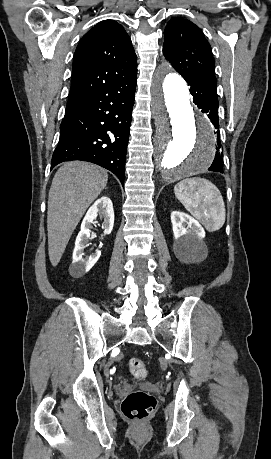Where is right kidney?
Instances as JSON below:
<instances>
[{
	"label": "right kidney",
	"mask_w": 271,
	"mask_h": 459,
	"mask_svg": "<svg viewBox=\"0 0 271 459\" xmlns=\"http://www.w3.org/2000/svg\"><path fill=\"white\" fill-rule=\"evenodd\" d=\"M97 216H103L104 218L102 226L104 235L111 233L114 226V210L113 204L107 196H102L100 200H96L95 204L89 208L81 224V231H79L75 241L73 261L69 265V273L72 277H82L84 273H87L93 267L101 255L100 249H95V253H92V255H85L84 253V247H87L90 239V228H93L92 224H95L94 220H96Z\"/></svg>",
	"instance_id": "1"
}]
</instances>
